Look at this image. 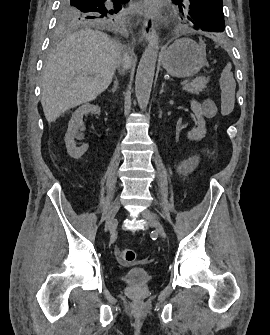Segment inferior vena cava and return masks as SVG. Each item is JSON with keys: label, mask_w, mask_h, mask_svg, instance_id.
Instances as JSON below:
<instances>
[{"label": "inferior vena cava", "mask_w": 270, "mask_h": 335, "mask_svg": "<svg viewBox=\"0 0 270 335\" xmlns=\"http://www.w3.org/2000/svg\"><path fill=\"white\" fill-rule=\"evenodd\" d=\"M122 68H123V70H127V68H128L127 64H122Z\"/></svg>", "instance_id": "inferior-vena-cava-1"}]
</instances>
